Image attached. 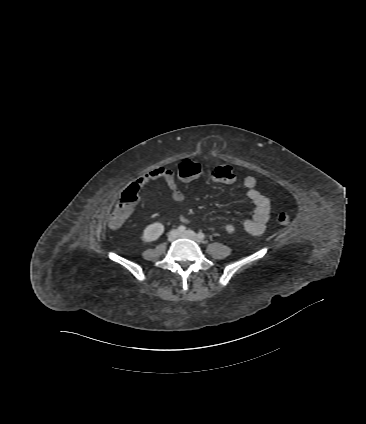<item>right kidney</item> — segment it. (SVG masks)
Returning <instances> with one entry per match:
<instances>
[{
  "instance_id": "right-kidney-1",
  "label": "right kidney",
  "mask_w": 366,
  "mask_h": 424,
  "mask_svg": "<svg viewBox=\"0 0 366 424\" xmlns=\"http://www.w3.org/2000/svg\"><path fill=\"white\" fill-rule=\"evenodd\" d=\"M164 232V225L156 222L148 225L143 232L142 240L144 242H153L157 240Z\"/></svg>"
}]
</instances>
